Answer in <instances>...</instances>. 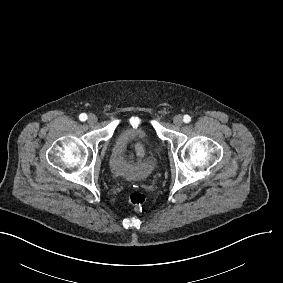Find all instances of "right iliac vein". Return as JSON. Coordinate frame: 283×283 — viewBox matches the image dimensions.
<instances>
[{
	"mask_svg": "<svg viewBox=\"0 0 283 283\" xmlns=\"http://www.w3.org/2000/svg\"><path fill=\"white\" fill-rule=\"evenodd\" d=\"M89 124H95L97 122V117L94 114H90L87 119Z\"/></svg>",
	"mask_w": 283,
	"mask_h": 283,
	"instance_id": "obj_1",
	"label": "right iliac vein"
}]
</instances>
